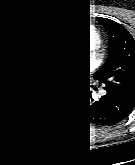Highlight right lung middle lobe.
Masks as SVG:
<instances>
[{"label":"right lung middle lobe","instance_id":"right-lung-middle-lobe-1","mask_svg":"<svg viewBox=\"0 0 135 165\" xmlns=\"http://www.w3.org/2000/svg\"><path fill=\"white\" fill-rule=\"evenodd\" d=\"M38 62L33 59L21 60L12 52L0 54V80H24L31 78Z\"/></svg>","mask_w":135,"mask_h":165}]
</instances>
